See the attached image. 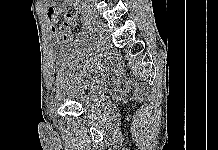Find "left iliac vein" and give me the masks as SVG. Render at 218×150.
Instances as JSON below:
<instances>
[{
    "label": "left iliac vein",
    "instance_id": "4c4485c4",
    "mask_svg": "<svg viewBox=\"0 0 218 150\" xmlns=\"http://www.w3.org/2000/svg\"><path fill=\"white\" fill-rule=\"evenodd\" d=\"M96 31L98 33L99 43L106 44L109 38L107 36L106 26L102 21L96 22Z\"/></svg>",
    "mask_w": 218,
    "mask_h": 150
}]
</instances>
